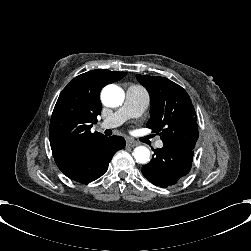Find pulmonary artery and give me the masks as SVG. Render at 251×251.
<instances>
[{"label": "pulmonary artery", "mask_w": 251, "mask_h": 251, "mask_svg": "<svg viewBox=\"0 0 251 251\" xmlns=\"http://www.w3.org/2000/svg\"><path fill=\"white\" fill-rule=\"evenodd\" d=\"M147 107V95L136 85H130L126 89V97L123 105L99 123V127L101 129L116 128L130 118L141 116ZM155 145L157 148L163 147L161 140H158Z\"/></svg>", "instance_id": "1"}]
</instances>
